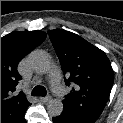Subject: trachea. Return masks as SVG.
Instances as JSON below:
<instances>
[{"instance_id": "trachea-1", "label": "trachea", "mask_w": 123, "mask_h": 123, "mask_svg": "<svg viewBox=\"0 0 123 123\" xmlns=\"http://www.w3.org/2000/svg\"><path fill=\"white\" fill-rule=\"evenodd\" d=\"M32 94L36 96H45L47 94V91L43 86L38 85L33 88Z\"/></svg>"}]
</instances>
